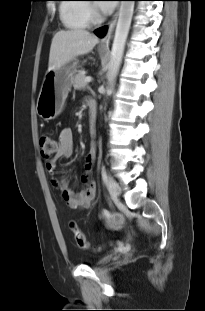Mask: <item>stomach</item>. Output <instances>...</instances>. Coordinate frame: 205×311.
Listing matches in <instances>:
<instances>
[{
    "label": "stomach",
    "mask_w": 205,
    "mask_h": 311,
    "mask_svg": "<svg viewBox=\"0 0 205 311\" xmlns=\"http://www.w3.org/2000/svg\"><path fill=\"white\" fill-rule=\"evenodd\" d=\"M77 64L75 60L46 73L36 106L38 115L45 121L55 119L61 113L77 71Z\"/></svg>",
    "instance_id": "1"
}]
</instances>
